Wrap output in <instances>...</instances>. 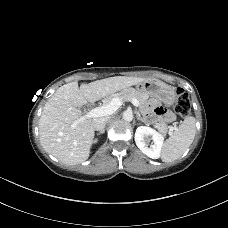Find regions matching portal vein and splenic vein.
Returning a JSON list of instances; mask_svg holds the SVG:
<instances>
[{"mask_svg": "<svg viewBox=\"0 0 228 228\" xmlns=\"http://www.w3.org/2000/svg\"><path fill=\"white\" fill-rule=\"evenodd\" d=\"M122 103L123 102L119 98H113L111 102L108 103L107 105L96 107L90 110L89 112H87L84 116H81L78 120H76L72 124V127H75L79 122L84 121L86 119L111 115L118 110V108L122 105ZM131 103L136 107L139 106V101L136 99H132Z\"/></svg>", "mask_w": 228, "mask_h": 228, "instance_id": "obj_1", "label": "portal vein and splenic vein"}]
</instances>
